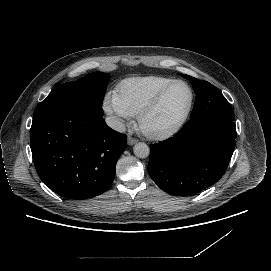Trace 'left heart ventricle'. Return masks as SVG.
Here are the masks:
<instances>
[{
  "label": "left heart ventricle",
  "instance_id": "1",
  "mask_svg": "<svg viewBox=\"0 0 271 271\" xmlns=\"http://www.w3.org/2000/svg\"><path fill=\"white\" fill-rule=\"evenodd\" d=\"M191 101V90L184 83L174 85L162 103L144 122L149 132H158L173 127L185 114Z\"/></svg>",
  "mask_w": 271,
  "mask_h": 271
}]
</instances>
